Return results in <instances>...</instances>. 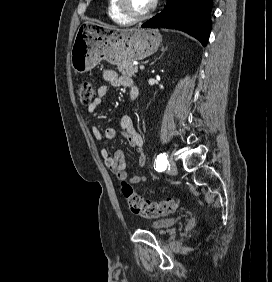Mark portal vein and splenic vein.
I'll list each match as a JSON object with an SVG mask.
<instances>
[{"instance_id":"obj_1","label":"portal vein and splenic vein","mask_w":272,"mask_h":282,"mask_svg":"<svg viewBox=\"0 0 272 282\" xmlns=\"http://www.w3.org/2000/svg\"><path fill=\"white\" fill-rule=\"evenodd\" d=\"M139 68H140V70H144L145 69V67L143 65H141Z\"/></svg>"}]
</instances>
